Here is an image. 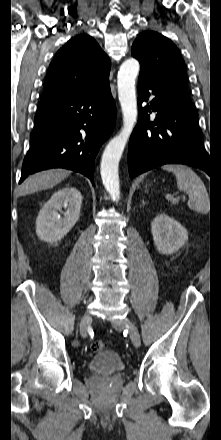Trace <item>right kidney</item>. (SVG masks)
<instances>
[{"instance_id": "obj_1", "label": "right kidney", "mask_w": 221, "mask_h": 440, "mask_svg": "<svg viewBox=\"0 0 221 440\" xmlns=\"http://www.w3.org/2000/svg\"><path fill=\"white\" fill-rule=\"evenodd\" d=\"M81 203L82 195L74 187H64L54 192L38 214L37 236L49 243L61 240L78 221ZM62 208L66 211L63 212Z\"/></svg>"}]
</instances>
